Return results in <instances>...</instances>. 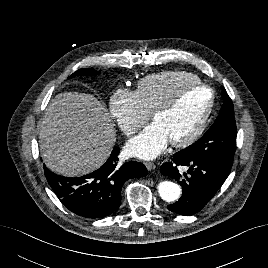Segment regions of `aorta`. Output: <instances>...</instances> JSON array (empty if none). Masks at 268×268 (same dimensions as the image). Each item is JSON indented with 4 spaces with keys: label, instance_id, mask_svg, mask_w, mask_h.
<instances>
[{
    "label": "aorta",
    "instance_id": "aorta-1",
    "mask_svg": "<svg viewBox=\"0 0 268 268\" xmlns=\"http://www.w3.org/2000/svg\"><path fill=\"white\" fill-rule=\"evenodd\" d=\"M158 192L163 200L173 202L180 197L181 187L171 181H161L158 184Z\"/></svg>",
    "mask_w": 268,
    "mask_h": 268
}]
</instances>
